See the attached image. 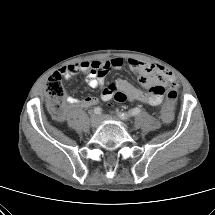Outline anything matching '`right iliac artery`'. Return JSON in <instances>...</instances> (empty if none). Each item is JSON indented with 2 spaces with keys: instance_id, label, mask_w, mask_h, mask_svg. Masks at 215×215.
Masks as SVG:
<instances>
[{
  "instance_id": "obj_1",
  "label": "right iliac artery",
  "mask_w": 215,
  "mask_h": 215,
  "mask_svg": "<svg viewBox=\"0 0 215 215\" xmlns=\"http://www.w3.org/2000/svg\"><path fill=\"white\" fill-rule=\"evenodd\" d=\"M94 113L97 114V115H100L102 113V109L100 107H96L94 109Z\"/></svg>"
}]
</instances>
